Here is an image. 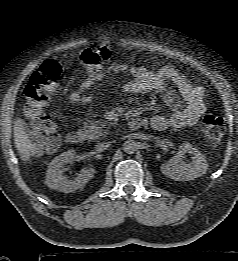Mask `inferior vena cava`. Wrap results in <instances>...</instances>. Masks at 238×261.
<instances>
[{"label": "inferior vena cava", "mask_w": 238, "mask_h": 261, "mask_svg": "<svg viewBox=\"0 0 238 261\" xmlns=\"http://www.w3.org/2000/svg\"><path fill=\"white\" fill-rule=\"evenodd\" d=\"M110 146V142L107 143H99L96 145L97 152H103Z\"/></svg>", "instance_id": "602c4592"}]
</instances>
